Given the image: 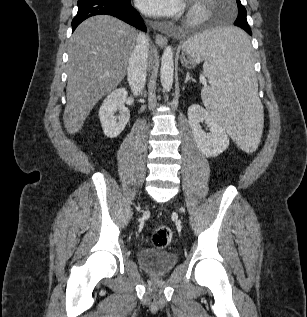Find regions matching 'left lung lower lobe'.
Masks as SVG:
<instances>
[{
  "label": "left lung lower lobe",
  "instance_id": "left-lung-lower-lobe-1",
  "mask_svg": "<svg viewBox=\"0 0 307 317\" xmlns=\"http://www.w3.org/2000/svg\"><path fill=\"white\" fill-rule=\"evenodd\" d=\"M245 30L249 35H252L250 27H240ZM226 43L229 48L235 50L236 52H241L244 48L247 47L249 41L246 37H236L229 36L226 39Z\"/></svg>",
  "mask_w": 307,
  "mask_h": 317
}]
</instances>
